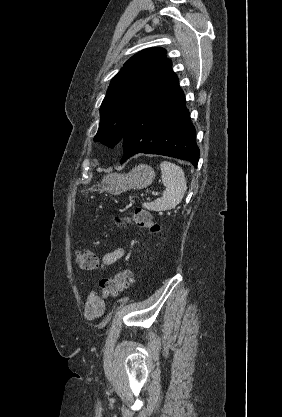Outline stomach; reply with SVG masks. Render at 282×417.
I'll return each mask as SVG.
<instances>
[{
  "instance_id": "obj_1",
  "label": "stomach",
  "mask_w": 282,
  "mask_h": 417,
  "mask_svg": "<svg viewBox=\"0 0 282 417\" xmlns=\"http://www.w3.org/2000/svg\"><path fill=\"white\" fill-rule=\"evenodd\" d=\"M155 178V172L149 164H138L134 166L127 174L122 172H109L103 176L100 184L102 192H110V194H121L130 188H146L148 184H152Z\"/></svg>"
}]
</instances>
